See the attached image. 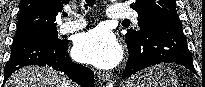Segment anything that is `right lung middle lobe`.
Instances as JSON below:
<instances>
[{"instance_id":"right-lung-middle-lobe-1","label":"right lung middle lobe","mask_w":205,"mask_h":87,"mask_svg":"<svg viewBox=\"0 0 205 87\" xmlns=\"http://www.w3.org/2000/svg\"><path fill=\"white\" fill-rule=\"evenodd\" d=\"M28 38H41L55 43L61 42V40L58 38V32L56 28L48 29V30H37V31L16 33L14 40L28 39Z\"/></svg>"}]
</instances>
